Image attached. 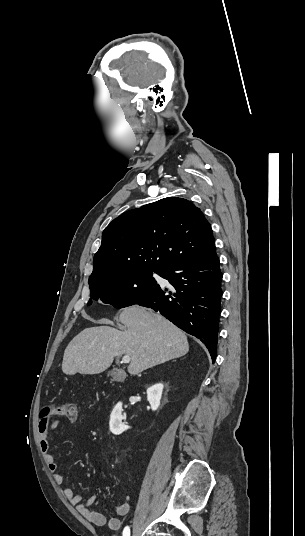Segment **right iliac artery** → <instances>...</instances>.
Wrapping results in <instances>:
<instances>
[{"label":"right iliac artery","mask_w":305,"mask_h":536,"mask_svg":"<svg viewBox=\"0 0 305 536\" xmlns=\"http://www.w3.org/2000/svg\"><path fill=\"white\" fill-rule=\"evenodd\" d=\"M123 536H130V529L129 527H125L123 530Z\"/></svg>","instance_id":"1"}]
</instances>
